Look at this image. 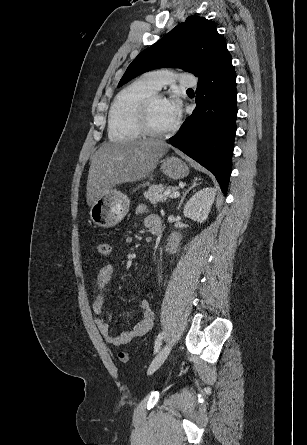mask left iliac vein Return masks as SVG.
Wrapping results in <instances>:
<instances>
[{
  "mask_svg": "<svg viewBox=\"0 0 307 445\" xmlns=\"http://www.w3.org/2000/svg\"><path fill=\"white\" fill-rule=\"evenodd\" d=\"M170 351H171V345L169 343L165 345L155 356V358L153 359L148 368V374H152L153 372H155L164 363Z\"/></svg>",
  "mask_w": 307,
  "mask_h": 445,
  "instance_id": "1",
  "label": "left iliac vein"
}]
</instances>
